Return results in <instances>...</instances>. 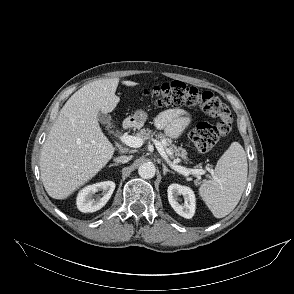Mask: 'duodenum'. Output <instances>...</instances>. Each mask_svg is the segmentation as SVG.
Returning <instances> with one entry per match:
<instances>
[{
	"instance_id": "obj_1",
	"label": "duodenum",
	"mask_w": 294,
	"mask_h": 294,
	"mask_svg": "<svg viewBox=\"0 0 294 294\" xmlns=\"http://www.w3.org/2000/svg\"><path fill=\"white\" fill-rule=\"evenodd\" d=\"M134 126V120L131 118H127L123 121L124 129H131Z\"/></svg>"
}]
</instances>
